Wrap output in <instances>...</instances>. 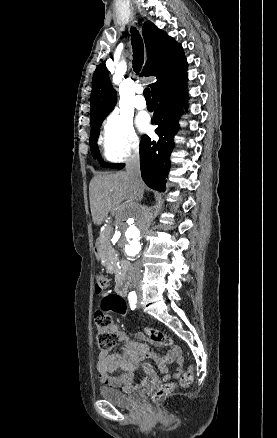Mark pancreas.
<instances>
[{
	"mask_svg": "<svg viewBox=\"0 0 277 438\" xmlns=\"http://www.w3.org/2000/svg\"><path fill=\"white\" fill-rule=\"evenodd\" d=\"M112 237L113 234L111 231H102L101 235L99 236V242H98V250L99 253L102 254V267H116L117 261H116V251H112Z\"/></svg>",
	"mask_w": 277,
	"mask_h": 438,
	"instance_id": "1",
	"label": "pancreas"
}]
</instances>
